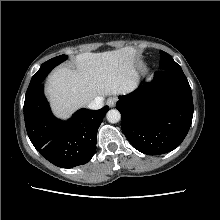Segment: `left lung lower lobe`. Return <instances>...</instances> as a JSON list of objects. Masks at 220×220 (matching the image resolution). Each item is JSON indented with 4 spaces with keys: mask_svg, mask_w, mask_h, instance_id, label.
I'll list each match as a JSON object with an SVG mask.
<instances>
[{
    "mask_svg": "<svg viewBox=\"0 0 220 220\" xmlns=\"http://www.w3.org/2000/svg\"><path fill=\"white\" fill-rule=\"evenodd\" d=\"M116 108L123 133L138 151L164 154L177 148L189 131L192 92L182 70H161L152 82L119 96Z\"/></svg>",
    "mask_w": 220,
    "mask_h": 220,
    "instance_id": "1",
    "label": "left lung lower lobe"
}]
</instances>
